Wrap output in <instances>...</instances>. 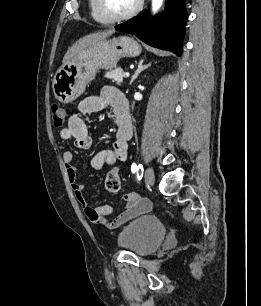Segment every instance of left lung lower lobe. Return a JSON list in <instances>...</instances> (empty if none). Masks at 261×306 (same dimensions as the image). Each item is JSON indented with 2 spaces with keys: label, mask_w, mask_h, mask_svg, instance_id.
<instances>
[{
  "label": "left lung lower lobe",
  "mask_w": 261,
  "mask_h": 306,
  "mask_svg": "<svg viewBox=\"0 0 261 306\" xmlns=\"http://www.w3.org/2000/svg\"><path fill=\"white\" fill-rule=\"evenodd\" d=\"M186 0H167L165 12L158 18L149 19L147 11L115 26L116 30L136 35L156 48L170 50L181 55L184 26L188 20Z\"/></svg>",
  "instance_id": "obj_1"
}]
</instances>
